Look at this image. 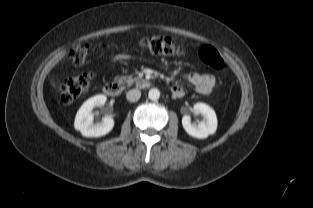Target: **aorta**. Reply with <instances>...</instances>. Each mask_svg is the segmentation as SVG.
Listing matches in <instances>:
<instances>
[{"label": "aorta", "instance_id": "obj_1", "mask_svg": "<svg viewBox=\"0 0 313 208\" xmlns=\"http://www.w3.org/2000/svg\"><path fill=\"white\" fill-rule=\"evenodd\" d=\"M148 97L151 100H158L160 97V91L156 88H152L149 90Z\"/></svg>", "mask_w": 313, "mask_h": 208}]
</instances>
